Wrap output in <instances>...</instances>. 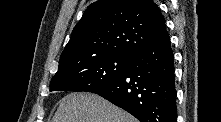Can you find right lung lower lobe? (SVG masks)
<instances>
[{
    "label": "right lung lower lobe",
    "mask_w": 221,
    "mask_h": 122,
    "mask_svg": "<svg viewBox=\"0 0 221 122\" xmlns=\"http://www.w3.org/2000/svg\"><path fill=\"white\" fill-rule=\"evenodd\" d=\"M92 93L141 122H176L173 52L167 31L135 54L121 76Z\"/></svg>",
    "instance_id": "obj_1"
}]
</instances>
